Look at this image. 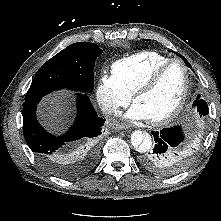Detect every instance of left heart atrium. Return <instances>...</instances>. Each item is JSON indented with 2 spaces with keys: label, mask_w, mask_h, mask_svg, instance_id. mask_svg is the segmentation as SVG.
Segmentation results:
<instances>
[{
  "label": "left heart atrium",
  "mask_w": 221,
  "mask_h": 221,
  "mask_svg": "<svg viewBox=\"0 0 221 221\" xmlns=\"http://www.w3.org/2000/svg\"><path fill=\"white\" fill-rule=\"evenodd\" d=\"M129 120H148V116L140 105L134 104L128 112L124 115Z\"/></svg>",
  "instance_id": "obj_1"
}]
</instances>
